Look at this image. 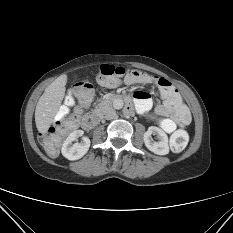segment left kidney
<instances>
[{
	"label": "left kidney",
	"instance_id": "obj_1",
	"mask_svg": "<svg viewBox=\"0 0 233 233\" xmlns=\"http://www.w3.org/2000/svg\"><path fill=\"white\" fill-rule=\"evenodd\" d=\"M152 134H157L160 141H153V139L151 138ZM143 140L145 146L153 153L157 155H166L169 153L168 136L162 129L155 126H150L148 130L144 133Z\"/></svg>",
	"mask_w": 233,
	"mask_h": 233
}]
</instances>
